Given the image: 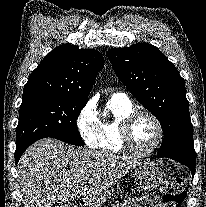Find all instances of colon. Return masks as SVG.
Returning <instances> with one entry per match:
<instances>
[{
  "label": "colon",
  "mask_w": 206,
  "mask_h": 207,
  "mask_svg": "<svg viewBox=\"0 0 206 207\" xmlns=\"http://www.w3.org/2000/svg\"><path fill=\"white\" fill-rule=\"evenodd\" d=\"M161 192L168 207H182L186 198L182 179L179 176H169L163 182ZM61 207H75L73 204H64Z\"/></svg>",
  "instance_id": "5ec220e1"
}]
</instances>
